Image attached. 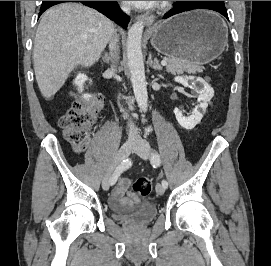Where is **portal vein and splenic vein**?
Here are the masks:
<instances>
[{"mask_svg":"<svg viewBox=\"0 0 271 266\" xmlns=\"http://www.w3.org/2000/svg\"><path fill=\"white\" fill-rule=\"evenodd\" d=\"M161 64H162L163 66H166V65L168 64V62H167L166 60H162V61H161Z\"/></svg>","mask_w":271,"mask_h":266,"instance_id":"18ae733b","label":"portal vein and splenic vein"}]
</instances>
